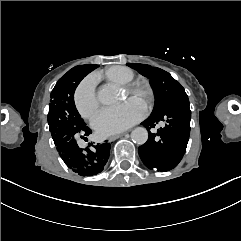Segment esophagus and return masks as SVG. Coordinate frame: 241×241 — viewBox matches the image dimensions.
Returning <instances> with one entry per match:
<instances>
[{
  "mask_svg": "<svg viewBox=\"0 0 241 241\" xmlns=\"http://www.w3.org/2000/svg\"><path fill=\"white\" fill-rule=\"evenodd\" d=\"M123 135H124L123 133L116 134V135H114V136H110V137L108 138V140H109V141H114V140L122 137Z\"/></svg>",
  "mask_w": 241,
  "mask_h": 241,
  "instance_id": "1",
  "label": "esophagus"
}]
</instances>
